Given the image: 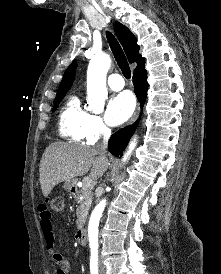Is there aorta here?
Wrapping results in <instances>:
<instances>
[{
  "label": "aorta",
  "instance_id": "762f6f07",
  "mask_svg": "<svg viewBox=\"0 0 221 274\" xmlns=\"http://www.w3.org/2000/svg\"><path fill=\"white\" fill-rule=\"evenodd\" d=\"M111 65L109 56L92 58L87 70V103L89 108L95 112L101 111L106 99V74ZM136 146V138H134L128 146V151L123 156L122 161L125 162L130 157ZM106 205V200H101L93 210L89 225L88 238L89 246L92 253L98 251V226Z\"/></svg>",
  "mask_w": 221,
  "mask_h": 274
}]
</instances>
